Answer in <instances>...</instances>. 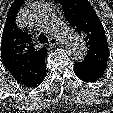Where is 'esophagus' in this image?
Listing matches in <instances>:
<instances>
[{"mask_svg": "<svg viewBox=\"0 0 113 113\" xmlns=\"http://www.w3.org/2000/svg\"><path fill=\"white\" fill-rule=\"evenodd\" d=\"M60 43V40L58 38H55V37H51L49 39V45L50 46H56Z\"/></svg>", "mask_w": 113, "mask_h": 113, "instance_id": "34e87169", "label": "esophagus"}]
</instances>
